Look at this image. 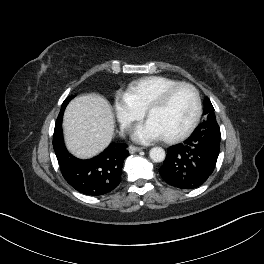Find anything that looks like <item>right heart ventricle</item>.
I'll use <instances>...</instances> for the list:
<instances>
[{"mask_svg": "<svg viewBox=\"0 0 264 264\" xmlns=\"http://www.w3.org/2000/svg\"><path fill=\"white\" fill-rule=\"evenodd\" d=\"M179 83L166 76H147L133 81L125 96L134 105L145 111L147 107L168 87Z\"/></svg>", "mask_w": 264, "mask_h": 264, "instance_id": "1", "label": "right heart ventricle"}]
</instances>
